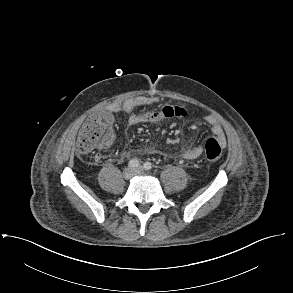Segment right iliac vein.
<instances>
[{
    "instance_id": "1",
    "label": "right iliac vein",
    "mask_w": 293,
    "mask_h": 293,
    "mask_svg": "<svg viewBox=\"0 0 293 293\" xmlns=\"http://www.w3.org/2000/svg\"><path fill=\"white\" fill-rule=\"evenodd\" d=\"M135 174H136V171L133 168H126L123 172V176L127 180L131 179Z\"/></svg>"
}]
</instances>
